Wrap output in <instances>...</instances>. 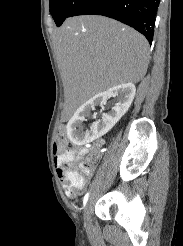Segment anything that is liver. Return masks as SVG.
Listing matches in <instances>:
<instances>
[{"instance_id":"6515ba94","label":"liver","mask_w":183,"mask_h":246,"mask_svg":"<svg viewBox=\"0 0 183 246\" xmlns=\"http://www.w3.org/2000/svg\"><path fill=\"white\" fill-rule=\"evenodd\" d=\"M53 40L70 107L116 85L138 83L147 72V40L113 19L69 18L55 31Z\"/></svg>"}]
</instances>
